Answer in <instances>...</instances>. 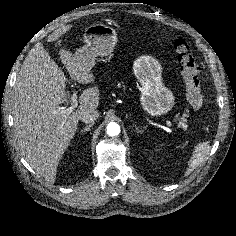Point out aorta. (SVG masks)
<instances>
[{
    "label": "aorta",
    "instance_id": "obj_1",
    "mask_svg": "<svg viewBox=\"0 0 236 236\" xmlns=\"http://www.w3.org/2000/svg\"><path fill=\"white\" fill-rule=\"evenodd\" d=\"M120 133V126L115 122H110L107 125V134L109 136H117Z\"/></svg>",
    "mask_w": 236,
    "mask_h": 236
}]
</instances>
